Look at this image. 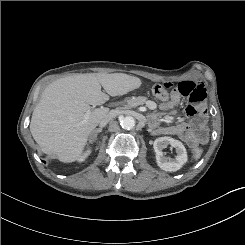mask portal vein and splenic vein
Masks as SVG:
<instances>
[{"instance_id": "portal-vein-and-splenic-vein-1", "label": "portal vein and splenic vein", "mask_w": 245, "mask_h": 245, "mask_svg": "<svg viewBox=\"0 0 245 245\" xmlns=\"http://www.w3.org/2000/svg\"><path fill=\"white\" fill-rule=\"evenodd\" d=\"M89 112L86 113V117L88 116Z\"/></svg>"}]
</instances>
